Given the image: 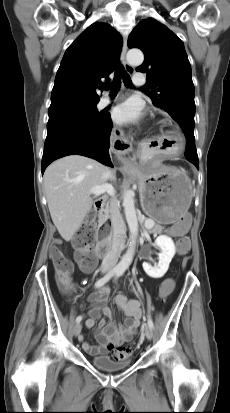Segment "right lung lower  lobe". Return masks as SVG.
I'll return each mask as SVG.
<instances>
[{"mask_svg":"<svg viewBox=\"0 0 230 413\" xmlns=\"http://www.w3.org/2000/svg\"><path fill=\"white\" fill-rule=\"evenodd\" d=\"M97 122L59 123L47 129L42 157V174L54 160L67 155H82L113 166L109 156L112 121L108 114Z\"/></svg>","mask_w":230,"mask_h":413,"instance_id":"right-lung-lower-lobe-1","label":"right lung lower lobe"}]
</instances>
